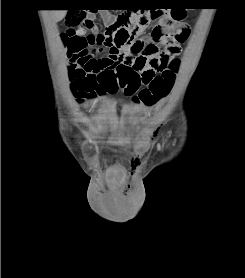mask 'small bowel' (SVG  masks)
<instances>
[{"mask_svg": "<svg viewBox=\"0 0 245 278\" xmlns=\"http://www.w3.org/2000/svg\"><path fill=\"white\" fill-rule=\"evenodd\" d=\"M162 24L165 30L171 27H176L177 30L186 37L190 34V27L183 20L173 21L169 12H162ZM101 18L106 25L112 24L116 17L108 10L101 12ZM144 27L139 29L142 32ZM95 34L97 28H92ZM75 35L81 38H87L86 30H77ZM92 37H96L93 35ZM157 40L165 46L164 52L156 57L154 55H146L141 52H129L126 48H113L111 44L98 45L94 43L96 50L103 51L104 57L94 58L90 54L80 56L78 59L71 61L69 67H81L84 64H90L91 68L88 72L93 80L92 98L99 96H112L115 93H110L109 87L118 85L121 77H127L129 73L142 75L147 70L159 73L164 71L170 64V59L175 54L167 50L166 38L159 37ZM84 63V64H83ZM155 134L152 132L151 136Z\"/></svg>", "mask_w": 245, "mask_h": 278, "instance_id": "small-bowel-1", "label": "small bowel"}]
</instances>
